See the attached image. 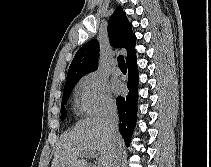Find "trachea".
Here are the masks:
<instances>
[{
	"label": "trachea",
	"mask_w": 211,
	"mask_h": 167,
	"mask_svg": "<svg viewBox=\"0 0 211 167\" xmlns=\"http://www.w3.org/2000/svg\"><path fill=\"white\" fill-rule=\"evenodd\" d=\"M117 60H118L119 68L126 69V63H125L124 57L120 55V56H118Z\"/></svg>",
	"instance_id": "1"
}]
</instances>
